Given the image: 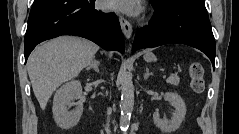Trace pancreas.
<instances>
[{"instance_id": "cf45deb5", "label": "pancreas", "mask_w": 239, "mask_h": 134, "mask_svg": "<svg viewBox=\"0 0 239 134\" xmlns=\"http://www.w3.org/2000/svg\"><path fill=\"white\" fill-rule=\"evenodd\" d=\"M166 82L172 86H178L179 85V82H180V78L175 74V75H172L170 76Z\"/></svg>"}]
</instances>
